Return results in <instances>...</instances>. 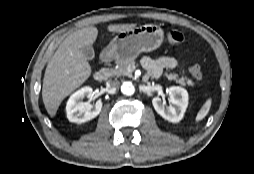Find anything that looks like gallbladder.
<instances>
[{
  "mask_svg": "<svg viewBox=\"0 0 254 174\" xmlns=\"http://www.w3.org/2000/svg\"><path fill=\"white\" fill-rule=\"evenodd\" d=\"M81 51L87 60L94 59L95 52H94V49L92 48V46H85V47L81 48Z\"/></svg>",
  "mask_w": 254,
  "mask_h": 174,
  "instance_id": "gallbladder-1",
  "label": "gallbladder"
}]
</instances>
